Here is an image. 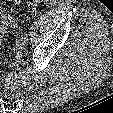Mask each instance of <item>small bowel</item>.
Here are the masks:
<instances>
[{"label":"small bowel","instance_id":"c3829d8e","mask_svg":"<svg viewBox=\"0 0 113 113\" xmlns=\"http://www.w3.org/2000/svg\"><path fill=\"white\" fill-rule=\"evenodd\" d=\"M0 43H1V35L3 33L4 27L8 21L13 22L12 15L6 13L2 6V0H0ZM3 22V23H2ZM2 23V25H1Z\"/></svg>","mask_w":113,"mask_h":113}]
</instances>
